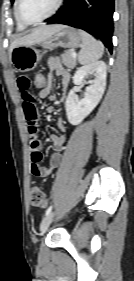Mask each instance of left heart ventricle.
<instances>
[{
	"label": "left heart ventricle",
	"mask_w": 134,
	"mask_h": 281,
	"mask_svg": "<svg viewBox=\"0 0 134 281\" xmlns=\"http://www.w3.org/2000/svg\"><path fill=\"white\" fill-rule=\"evenodd\" d=\"M57 0H21V14L29 21L43 18L55 7Z\"/></svg>",
	"instance_id": "1"
}]
</instances>
